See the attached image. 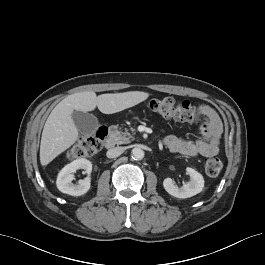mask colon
<instances>
[{"mask_svg": "<svg viewBox=\"0 0 265 265\" xmlns=\"http://www.w3.org/2000/svg\"><path fill=\"white\" fill-rule=\"evenodd\" d=\"M148 106L151 111L166 118H173L183 122L197 123L203 115L199 106L188 101H176L171 97L152 99ZM108 135V128L100 126L92 135L82 138L75 143L69 151L73 158H82L95 154ZM205 170L211 177L218 176L222 170V161L217 155H210L205 161Z\"/></svg>", "mask_w": 265, "mask_h": 265, "instance_id": "obj_1", "label": "colon"}]
</instances>
